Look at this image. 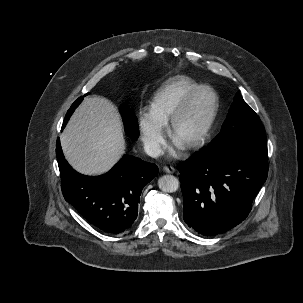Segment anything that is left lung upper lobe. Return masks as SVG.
<instances>
[{"instance_id":"obj_1","label":"left lung upper lobe","mask_w":303,"mask_h":303,"mask_svg":"<svg viewBox=\"0 0 303 303\" xmlns=\"http://www.w3.org/2000/svg\"><path fill=\"white\" fill-rule=\"evenodd\" d=\"M268 160L267 139L258 115L237 93L220 133L205 149Z\"/></svg>"}]
</instances>
